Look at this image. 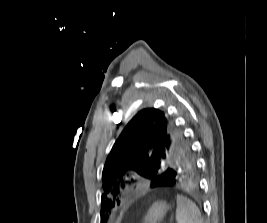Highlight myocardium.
Masks as SVG:
<instances>
[{
	"label": "myocardium",
	"mask_w": 267,
	"mask_h": 223,
	"mask_svg": "<svg viewBox=\"0 0 267 223\" xmlns=\"http://www.w3.org/2000/svg\"><path fill=\"white\" fill-rule=\"evenodd\" d=\"M121 192H122L123 195H126L127 196V195H130L131 194L132 189L129 186H126L125 188L122 189Z\"/></svg>",
	"instance_id": "myocardium-1"
}]
</instances>
